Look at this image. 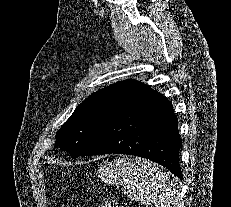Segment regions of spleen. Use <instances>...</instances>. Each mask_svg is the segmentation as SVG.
<instances>
[{"mask_svg":"<svg viewBox=\"0 0 231 207\" xmlns=\"http://www.w3.org/2000/svg\"><path fill=\"white\" fill-rule=\"evenodd\" d=\"M98 173L104 182L122 185L129 198L143 205L171 207L179 200L174 181L150 161L119 158L103 162Z\"/></svg>","mask_w":231,"mask_h":207,"instance_id":"obj_1","label":"spleen"}]
</instances>
